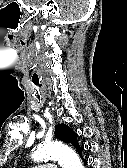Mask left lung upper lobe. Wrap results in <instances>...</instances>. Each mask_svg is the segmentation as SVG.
Wrapping results in <instances>:
<instances>
[{"label":"left lung upper lobe","instance_id":"5c2ea615","mask_svg":"<svg viewBox=\"0 0 127 168\" xmlns=\"http://www.w3.org/2000/svg\"><path fill=\"white\" fill-rule=\"evenodd\" d=\"M55 137L64 142L71 143L76 149L79 147L76 140L77 134L65 124L55 126Z\"/></svg>","mask_w":127,"mask_h":168}]
</instances>
